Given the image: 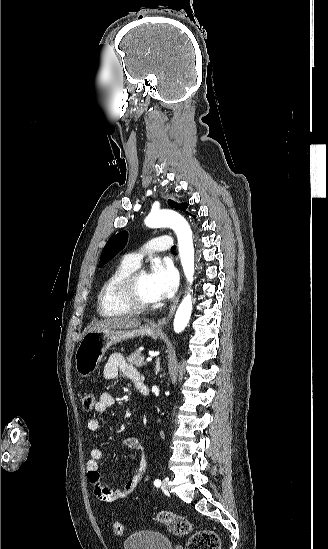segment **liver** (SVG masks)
<instances>
[{"label":"liver","instance_id":"1","mask_svg":"<svg viewBox=\"0 0 328 549\" xmlns=\"http://www.w3.org/2000/svg\"><path fill=\"white\" fill-rule=\"evenodd\" d=\"M141 321L138 319H130V317H111V319H102L95 325H92L88 333L92 331H107V329H137L140 327Z\"/></svg>","mask_w":328,"mask_h":549}]
</instances>
